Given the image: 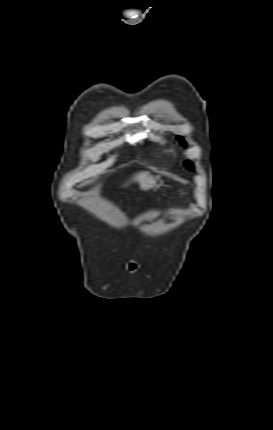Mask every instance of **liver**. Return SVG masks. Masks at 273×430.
I'll return each mask as SVG.
<instances>
[{"mask_svg":"<svg viewBox=\"0 0 273 430\" xmlns=\"http://www.w3.org/2000/svg\"><path fill=\"white\" fill-rule=\"evenodd\" d=\"M149 172H139L133 177V181L141 183L144 179L149 177Z\"/></svg>","mask_w":273,"mask_h":430,"instance_id":"6515ba94","label":"liver"}]
</instances>
